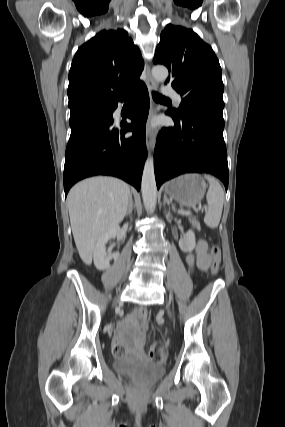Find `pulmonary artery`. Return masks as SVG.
<instances>
[{
	"label": "pulmonary artery",
	"instance_id": "obj_1",
	"mask_svg": "<svg viewBox=\"0 0 285 427\" xmlns=\"http://www.w3.org/2000/svg\"><path fill=\"white\" fill-rule=\"evenodd\" d=\"M162 92L164 96L173 98L178 104L181 102L180 95L176 92V90L173 87L165 86Z\"/></svg>",
	"mask_w": 285,
	"mask_h": 427
}]
</instances>
